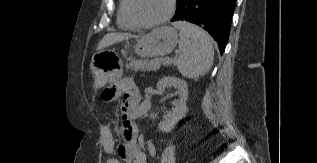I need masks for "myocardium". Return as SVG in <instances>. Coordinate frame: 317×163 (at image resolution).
I'll use <instances>...</instances> for the list:
<instances>
[{"label": "myocardium", "instance_id": "f54148a6", "mask_svg": "<svg viewBox=\"0 0 317 163\" xmlns=\"http://www.w3.org/2000/svg\"><path fill=\"white\" fill-rule=\"evenodd\" d=\"M176 10V0H169V8L166 14L154 21H144L138 17L134 9V0H128V13L131 19L139 26L145 28H152L166 23L174 14Z\"/></svg>", "mask_w": 317, "mask_h": 163}]
</instances>
